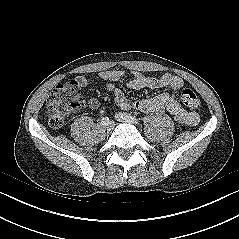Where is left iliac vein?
Masks as SVG:
<instances>
[{"label":"left iliac vein","instance_id":"obj_1","mask_svg":"<svg viewBox=\"0 0 239 239\" xmlns=\"http://www.w3.org/2000/svg\"><path fill=\"white\" fill-rule=\"evenodd\" d=\"M115 118L119 122L128 123V124H137V121L130 118L125 113L118 112L115 114Z\"/></svg>","mask_w":239,"mask_h":239}]
</instances>
